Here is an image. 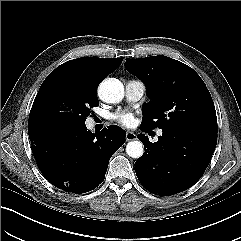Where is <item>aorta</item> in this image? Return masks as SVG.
I'll return each mask as SVG.
<instances>
[{
  "label": "aorta",
  "mask_w": 241,
  "mask_h": 241,
  "mask_svg": "<svg viewBox=\"0 0 241 241\" xmlns=\"http://www.w3.org/2000/svg\"><path fill=\"white\" fill-rule=\"evenodd\" d=\"M99 96L106 103H118L124 97L123 84L114 78L104 80L98 89ZM142 142L134 140L126 145V153L132 158H140L143 155Z\"/></svg>",
  "instance_id": "obj_1"
}]
</instances>
